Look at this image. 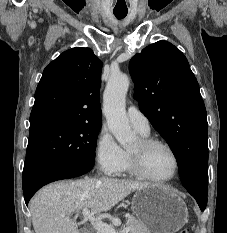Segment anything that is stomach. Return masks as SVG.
<instances>
[{
	"mask_svg": "<svg viewBox=\"0 0 227 233\" xmlns=\"http://www.w3.org/2000/svg\"><path fill=\"white\" fill-rule=\"evenodd\" d=\"M132 210L152 233H175L188 222L185 202L165 186L152 185L137 190Z\"/></svg>",
	"mask_w": 227,
	"mask_h": 233,
	"instance_id": "0dacf381",
	"label": "stomach"
}]
</instances>
